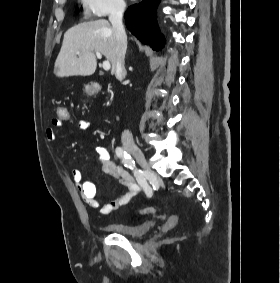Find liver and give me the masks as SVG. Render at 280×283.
<instances>
[{
    "label": "liver",
    "instance_id": "obj_1",
    "mask_svg": "<svg viewBox=\"0 0 280 283\" xmlns=\"http://www.w3.org/2000/svg\"><path fill=\"white\" fill-rule=\"evenodd\" d=\"M93 51H99L116 72L118 43L113 26L105 19L76 25L66 31L54 65L57 77L92 75L97 67Z\"/></svg>",
    "mask_w": 280,
    "mask_h": 283
}]
</instances>
